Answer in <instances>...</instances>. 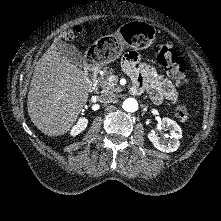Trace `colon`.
<instances>
[{
  "instance_id": "5ec220e1",
  "label": "colon",
  "mask_w": 221,
  "mask_h": 221,
  "mask_svg": "<svg viewBox=\"0 0 221 221\" xmlns=\"http://www.w3.org/2000/svg\"><path fill=\"white\" fill-rule=\"evenodd\" d=\"M77 30L81 31V28L78 27ZM156 56L159 64L177 83L183 84L186 82L184 60L171 45L164 42L158 43L156 45ZM177 116L183 121L189 120V108L184 105L178 107Z\"/></svg>"
}]
</instances>
